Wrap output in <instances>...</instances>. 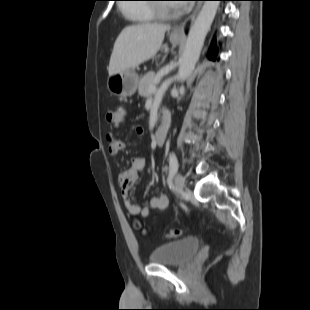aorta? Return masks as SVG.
<instances>
[{
    "label": "aorta",
    "mask_w": 310,
    "mask_h": 310,
    "mask_svg": "<svg viewBox=\"0 0 310 310\" xmlns=\"http://www.w3.org/2000/svg\"><path fill=\"white\" fill-rule=\"evenodd\" d=\"M219 3V1H205L193 23L178 70L177 77L180 81H184L192 73L199 59L205 37L216 15Z\"/></svg>",
    "instance_id": "762f6f07"
}]
</instances>
